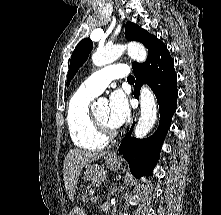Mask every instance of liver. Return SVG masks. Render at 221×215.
I'll use <instances>...</instances> for the list:
<instances>
[{
	"label": "liver",
	"instance_id": "6515ba94",
	"mask_svg": "<svg viewBox=\"0 0 221 215\" xmlns=\"http://www.w3.org/2000/svg\"><path fill=\"white\" fill-rule=\"evenodd\" d=\"M105 152L72 149L65 157L63 165V178L67 195L74 200L75 186L82 168L88 163L105 156Z\"/></svg>",
	"mask_w": 221,
	"mask_h": 215
}]
</instances>
